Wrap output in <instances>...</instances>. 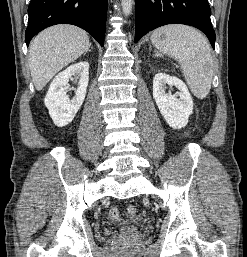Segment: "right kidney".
I'll list each match as a JSON object with an SVG mask.
<instances>
[{"label": "right kidney", "instance_id": "ca27d5eb", "mask_svg": "<svg viewBox=\"0 0 247 257\" xmlns=\"http://www.w3.org/2000/svg\"><path fill=\"white\" fill-rule=\"evenodd\" d=\"M72 76L79 78V82L75 97L70 100L67 91L69 89L68 82ZM88 81L89 63L87 61H81L67 67L53 79L44 103L56 126L63 127L72 122L84 102Z\"/></svg>", "mask_w": 247, "mask_h": 257}]
</instances>
